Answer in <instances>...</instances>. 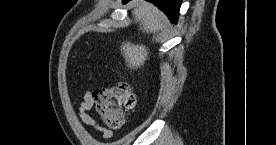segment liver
<instances>
[{
	"mask_svg": "<svg viewBox=\"0 0 276 145\" xmlns=\"http://www.w3.org/2000/svg\"><path fill=\"white\" fill-rule=\"evenodd\" d=\"M134 8L133 15L140 20V30L146 33H155L163 29L166 25V17L153 4L144 0H134L131 2ZM127 67L131 70H137L144 66L148 59V48L145 45H135L131 42H123L121 46Z\"/></svg>",
	"mask_w": 276,
	"mask_h": 145,
	"instance_id": "1",
	"label": "liver"
}]
</instances>
